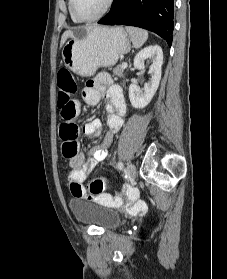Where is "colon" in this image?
<instances>
[{"instance_id": "obj_1", "label": "colon", "mask_w": 227, "mask_h": 279, "mask_svg": "<svg viewBox=\"0 0 227 279\" xmlns=\"http://www.w3.org/2000/svg\"><path fill=\"white\" fill-rule=\"evenodd\" d=\"M57 80L61 87V99L59 107L61 117L65 121L61 128L62 155L66 159L73 158L77 153L75 138L78 132L76 125L68 124L76 116V93L77 84L70 71L62 69L58 72ZM108 180L104 177H97L90 181L87 190L81 188L72 181L71 192L74 196L87 200H92L101 204L121 205L122 199L118 196H112L105 192ZM111 197V199H109Z\"/></svg>"}]
</instances>
